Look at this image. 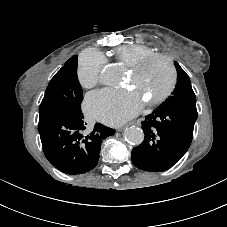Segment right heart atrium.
<instances>
[{"label": "right heart atrium", "instance_id": "d8ad5b80", "mask_svg": "<svg viewBox=\"0 0 227 227\" xmlns=\"http://www.w3.org/2000/svg\"><path fill=\"white\" fill-rule=\"evenodd\" d=\"M105 56L94 49L85 50L78 64V80L84 88H92L100 82L101 71L106 65Z\"/></svg>", "mask_w": 227, "mask_h": 227}]
</instances>
